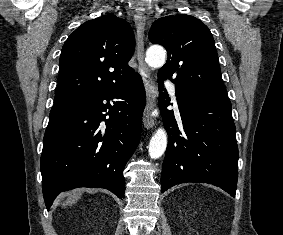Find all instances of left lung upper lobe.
<instances>
[{
	"label": "left lung upper lobe",
	"instance_id": "obj_1",
	"mask_svg": "<svg viewBox=\"0 0 283 235\" xmlns=\"http://www.w3.org/2000/svg\"><path fill=\"white\" fill-rule=\"evenodd\" d=\"M149 40L168 52L159 77L198 95L228 99L213 36L199 19L186 14L159 18L149 31Z\"/></svg>",
	"mask_w": 283,
	"mask_h": 235
}]
</instances>
